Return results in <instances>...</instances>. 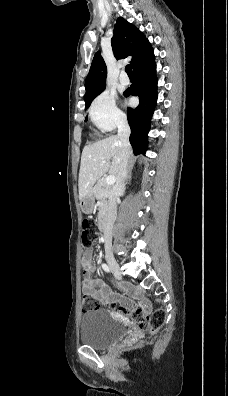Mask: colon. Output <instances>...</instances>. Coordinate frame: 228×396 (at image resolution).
I'll use <instances>...</instances> for the list:
<instances>
[{
  "label": "colon",
  "mask_w": 228,
  "mask_h": 396,
  "mask_svg": "<svg viewBox=\"0 0 228 396\" xmlns=\"http://www.w3.org/2000/svg\"><path fill=\"white\" fill-rule=\"evenodd\" d=\"M92 227V221L89 219H86L83 221L82 224V232H81V239H82V244H83V259L84 260L89 251V245H90V240H89V231ZM99 307V302L97 299H95L91 295H84L83 300H82V309L84 311H91L98 309ZM165 321V313L162 310H156L150 315L142 318L139 321V327L141 330H148L151 332H155L159 328L162 327Z\"/></svg>",
  "instance_id": "5ec220e1"
}]
</instances>
